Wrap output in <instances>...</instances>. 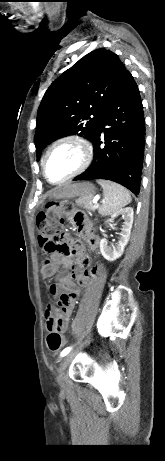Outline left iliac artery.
Masks as SVG:
<instances>
[{"label":"left iliac artery","mask_w":165,"mask_h":461,"mask_svg":"<svg viewBox=\"0 0 165 461\" xmlns=\"http://www.w3.org/2000/svg\"><path fill=\"white\" fill-rule=\"evenodd\" d=\"M71 348L67 347L61 352V356H66L70 352Z\"/></svg>","instance_id":"left-iliac-artery-1"}]
</instances>
